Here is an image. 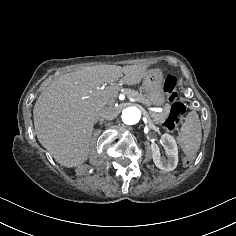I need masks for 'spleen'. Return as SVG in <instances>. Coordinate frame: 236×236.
Here are the masks:
<instances>
[{
	"label": "spleen",
	"instance_id": "1",
	"mask_svg": "<svg viewBox=\"0 0 236 236\" xmlns=\"http://www.w3.org/2000/svg\"><path fill=\"white\" fill-rule=\"evenodd\" d=\"M201 126L196 112L187 115L185 122L181 125L176 142L185 155L194 156L201 144Z\"/></svg>",
	"mask_w": 236,
	"mask_h": 236
}]
</instances>
